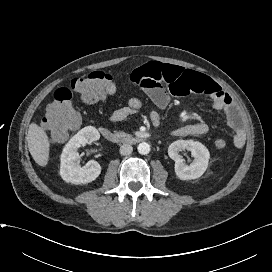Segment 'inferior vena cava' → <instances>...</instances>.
I'll return each mask as SVG.
<instances>
[{"label":"inferior vena cava","mask_w":272,"mask_h":272,"mask_svg":"<svg viewBox=\"0 0 272 272\" xmlns=\"http://www.w3.org/2000/svg\"><path fill=\"white\" fill-rule=\"evenodd\" d=\"M133 151V148L131 145L129 144H123L121 147H120V154L121 155H129L131 154Z\"/></svg>","instance_id":"inferior-vena-cava-1"}]
</instances>
